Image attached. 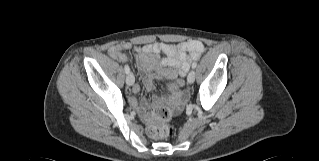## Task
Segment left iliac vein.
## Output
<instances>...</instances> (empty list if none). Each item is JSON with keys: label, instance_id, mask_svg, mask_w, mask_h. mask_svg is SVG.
Returning <instances> with one entry per match:
<instances>
[{"label": "left iliac vein", "instance_id": "1", "mask_svg": "<svg viewBox=\"0 0 319 161\" xmlns=\"http://www.w3.org/2000/svg\"><path fill=\"white\" fill-rule=\"evenodd\" d=\"M195 80V71L194 70H191L189 73H188V76H187V81L189 84H192Z\"/></svg>", "mask_w": 319, "mask_h": 161}]
</instances>
